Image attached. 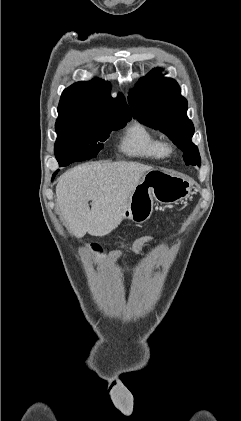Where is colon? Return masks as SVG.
Listing matches in <instances>:
<instances>
[{
	"mask_svg": "<svg viewBox=\"0 0 241 421\" xmlns=\"http://www.w3.org/2000/svg\"><path fill=\"white\" fill-rule=\"evenodd\" d=\"M91 248L93 251L100 253L101 252V247L98 244H91ZM133 249L135 251H139V249L136 247V245H133Z\"/></svg>",
	"mask_w": 241,
	"mask_h": 421,
	"instance_id": "colon-1",
	"label": "colon"
}]
</instances>
